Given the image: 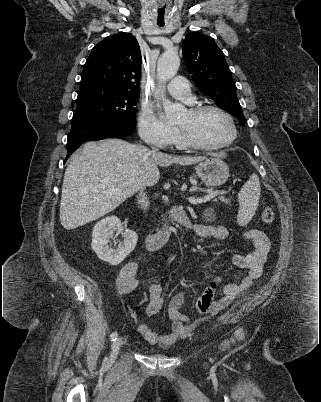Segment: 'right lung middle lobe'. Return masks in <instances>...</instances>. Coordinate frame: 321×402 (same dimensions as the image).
I'll list each match as a JSON object with an SVG mask.
<instances>
[{
  "mask_svg": "<svg viewBox=\"0 0 321 402\" xmlns=\"http://www.w3.org/2000/svg\"><path fill=\"white\" fill-rule=\"evenodd\" d=\"M139 94L103 87H80L72 122L84 119L135 123Z\"/></svg>",
  "mask_w": 321,
  "mask_h": 402,
  "instance_id": "1",
  "label": "right lung middle lobe"
}]
</instances>
